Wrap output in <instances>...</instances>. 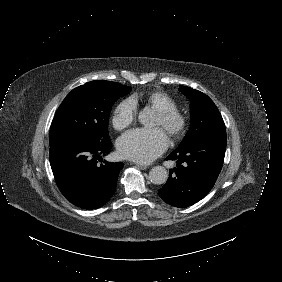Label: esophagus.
<instances>
[{"mask_svg": "<svg viewBox=\"0 0 282 282\" xmlns=\"http://www.w3.org/2000/svg\"><path fill=\"white\" fill-rule=\"evenodd\" d=\"M136 166H137L139 169H141V170L147 169V166L142 165V164H136Z\"/></svg>", "mask_w": 282, "mask_h": 282, "instance_id": "1", "label": "esophagus"}]
</instances>
